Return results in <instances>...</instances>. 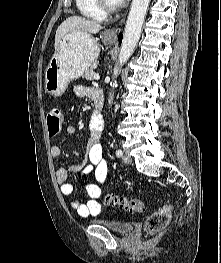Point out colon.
I'll list each match as a JSON object with an SVG mask.
<instances>
[{"label":"colon","mask_w":221,"mask_h":263,"mask_svg":"<svg viewBox=\"0 0 221 263\" xmlns=\"http://www.w3.org/2000/svg\"><path fill=\"white\" fill-rule=\"evenodd\" d=\"M48 133L51 137L56 136L62 129L63 117L59 108H50L47 112ZM105 203L114 205L121 210L135 213L145 211L142 200L136 198H126L117 195H108ZM172 214V206L165 205L149 215L145 221V231L148 234H156L163 231L169 224Z\"/></svg>","instance_id":"5ec220e1"}]
</instances>
